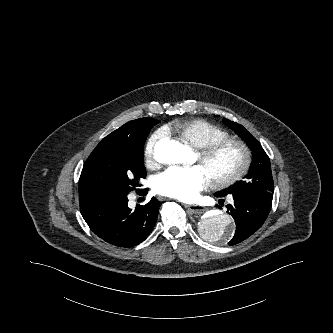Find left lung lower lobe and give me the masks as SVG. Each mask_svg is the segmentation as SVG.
<instances>
[{
  "label": "left lung lower lobe",
  "instance_id": "obj_1",
  "mask_svg": "<svg viewBox=\"0 0 333 333\" xmlns=\"http://www.w3.org/2000/svg\"><path fill=\"white\" fill-rule=\"evenodd\" d=\"M216 197L226 196L219 191ZM234 204L227 205V213L235 220L236 232L228 243L230 246L242 242L255 233L265 222L272 204V199L252 194H231Z\"/></svg>",
  "mask_w": 333,
  "mask_h": 333
}]
</instances>
